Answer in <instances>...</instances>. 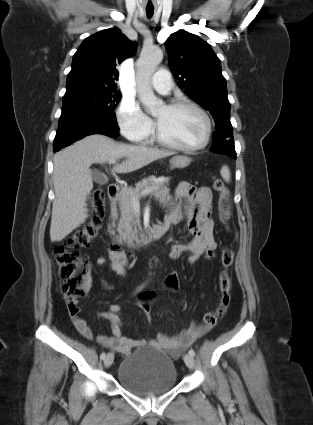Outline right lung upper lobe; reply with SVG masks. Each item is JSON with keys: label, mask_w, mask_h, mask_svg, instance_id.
<instances>
[{"label": "right lung upper lobe", "mask_w": 313, "mask_h": 425, "mask_svg": "<svg viewBox=\"0 0 313 425\" xmlns=\"http://www.w3.org/2000/svg\"><path fill=\"white\" fill-rule=\"evenodd\" d=\"M136 43L118 28L102 30L86 38L73 56L66 93L79 90L117 89L116 67L134 55Z\"/></svg>", "instance_id": "right-lung-upper-lobe-1"}]
</instances>
